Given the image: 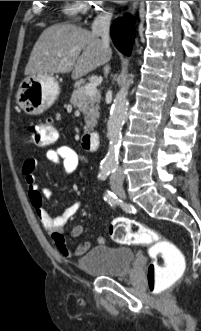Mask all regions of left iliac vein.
<instances>
[{
  "mask_svg": "<svg viewBox=\"0 0 201 331\" xmlns=\"http://www.w3.org/2000/svg\"><path fill=\"white\" fill-rule=\"evenodd\" d=\"M111 187L112 189L115 191V192H118V191H121L122 190V182L115 179V178H112L111 179Z\"/></svg>",
  "mask_w": 201,
  "mask_h": 331,
  "instance_id": "left-iliac-vein-1",
  "label": "left iliac vein"
}]
</instances>
